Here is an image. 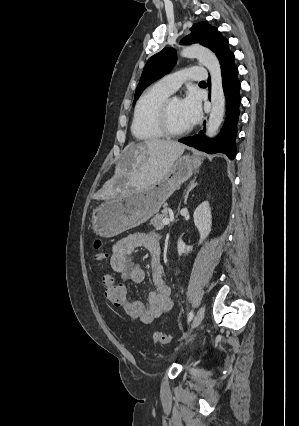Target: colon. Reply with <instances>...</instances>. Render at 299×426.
I'll return each instance as SVG.
<instances>
[{
	"label": "colon",
	"instance_id": "5ec220e1",
	"mask_svg": "<svg viewBox=\"0 0 299 426\" xmlns=\"http://www.w3.org/2000/svg\"><path fill=\"white\" fill-rule=\"evenodd\" d=\"M94 258L97 261H104L107 259V253L105 251V245L100 240H95L93 244ZM104 285L105 298L115 307H123L127 300V289L122 282H118L114 276L105 274L102 278ZM154 341L161 345H167L170 343L171 338L169 335L162 332H155L153 335Z\"/></svg>",
	"mask_w": 299,
	"mask_h": 426
}]
</instances>
